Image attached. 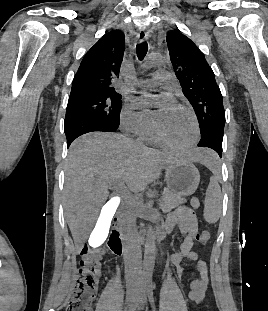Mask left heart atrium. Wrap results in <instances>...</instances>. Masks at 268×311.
<instances>
[{"label":"left heart atrium","mask_w":268,"mask_h":311,"mask_svg":"<svg viewBox=\"0 0 268 311\" xmlns=\"http://www.w3.org/2000/svg\"><path fill=\"white\" fill-rule=\"evenodd\" d=\"M148 97H151V95L147 94L145 96L139 97V98L135 99L134 102L138 106L146 105L147 104L146 99ZM160 98H161V109H160V112L158 113V116L162 115L164 112H167V111L173 109L176 106L174 104L173 98L169 94H163L160 96Z\"/></svg>","instance_id":"1"}]
</instances>
